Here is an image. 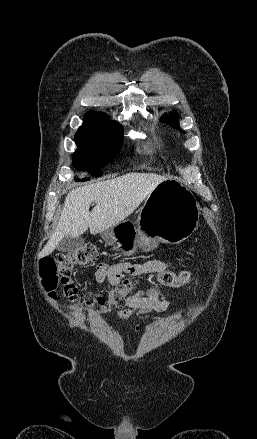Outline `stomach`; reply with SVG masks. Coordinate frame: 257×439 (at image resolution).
Instances as JSON below:
<instances>
[{
	"label": "stomach",
	"mask_w": 257,
	"mask_h": 439,
	"mask_svg": "<svg viewBox=\"0 0 257 439\" xmlns=\"http://www.w3.org/2000/svg\"><path fill=\"white\" fill-rule=\"evenodd\" d=\"M200 206L181 182L166 179L147 196L135 222L124 220L101 232L103 240L125 256L141 248L149 252L159 242L179 244L197 228Z\"/></svg>",
	"instance_id": "stomach-1"
}]
</instances>
